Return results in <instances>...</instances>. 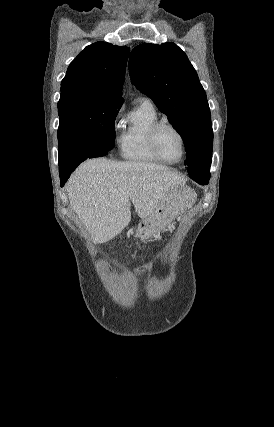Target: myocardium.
<instances>
[{"mask_svg": "<svg viewBox=\"0 0 274 427\" xmlns=\"http://www.w3.org/2000/svg\"><path fill=\"white\" fill-rule=\"evenodd\" d=\"M163 128H170L173 131H175L180 139H181V143H182V156L178 161H170L168 160L166 157H164V155L161 153L159 146H158V135L161 129ZM149 145L152 149V151L154 152V154L164 163L167 164H171V165H176V164H180L181 162L184 161L186 155H187V143H186V139L184 134L182 133V131L175 126L172 123L169 122H157L151 129L150 134H149Z\"/></svg>", "mask_w": 274, "mask_h": 427, "instance_id": "f54148a6", "label": "myocardium"}]
</instances>
